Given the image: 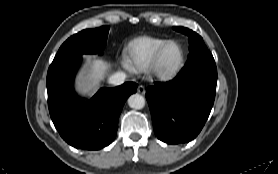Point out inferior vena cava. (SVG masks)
I'll return each mask as SVG.
<instances>
[{
	"instance_id": "602c4592",
	"label": "inferior vena cava",
	"mask_w": 278,
	"mask_h": 174,
	"mask_svg": "<svg viewBox=\"0 0 278 174\" xmlns=\"http://www.w3.org/2000/svg\"><path fill=\"white\" fill-rule=\"evenodd\" d=\"M126 75L123 72H117L109 77L108 82L113 85H121L124 83Z\"/></svg>"
}]
</instances>
